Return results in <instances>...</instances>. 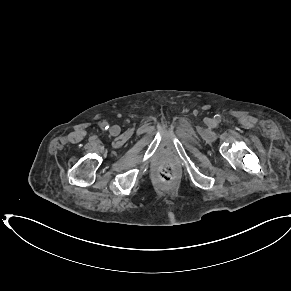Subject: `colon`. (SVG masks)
Masks as SVG:
<instances>
[{"label":"colon","mask_w":291,"mask_h":291,"mask_svg":"<svg viewBox=\"0 0 291 291\" xmlns=\"http://www.w3.org/2000/svg\"><path fill=\"white\" fill-rule=\"evenodd\" d=\"M174 168L170 164L163 165L158 173L159 179L163 182H170L174 178Z\"/></svg>","instance_id":"colon-1"}]
</instances>
